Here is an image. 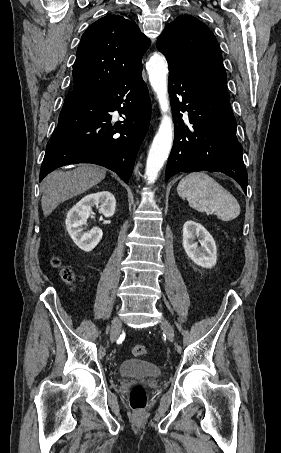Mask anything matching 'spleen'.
I'll list each match as a JSON object with an SVG mask.
<instances>
[{
  "mask_svg": "<svg viewBox=\"0 0 281 453\" xmlns=\"http://www.w3.org/2000/svg\"><path fill=\"white\" fill-rule=\"evenodd\" d=\"M177 192L188 198L190 206L199 212H215L221 220H232L240 214L235 196L206 172H190L180 180Z\"/></svg>",
  "mask_w": 281,
  "mask_h": 453,
  "instance_id": "1",
  "label": "spleen"
}]
</instances>
